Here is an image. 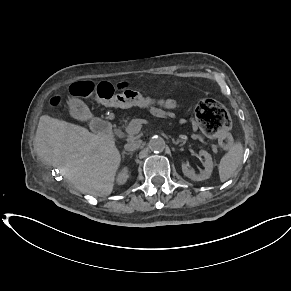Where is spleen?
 Returning a JSON list of instances; mask_svg holds the SVG:
<instances>
[{
    "label": "spleen",
    "instance_id": "obj_1",
    "mask_svg": "<svg viewBox=\"0 0 291 291\" xmlns=\"http://www.w3.org/2000/svg\"><path fill=\"white\" fill-rule=\"evenodd\" d=\"M243 145L236 141L231 145L228 152L221 158L218 170L221 182L227 181L237 170L243 157Z\"/></svg>",
    "mask_w": 291,
    "mask_h": 291
}]
</instances>
